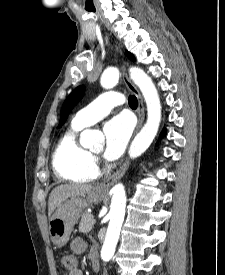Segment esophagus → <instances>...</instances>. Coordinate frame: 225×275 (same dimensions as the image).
Returning a JSON list of instances; mask_svg holds the SVG:
<instances>
[{
	"instance_id": "esophagus-1",
	"label": "esophagus",
	"mask_w": 225,
	"mask_h": 275,
	"mask_svg": "<svg viewBox=\"0 0 225 275\" xmlns=\"http://www.w3.org/2000/svg\"><path fill=\"white\" fill-rule=\"evenodd\" d=\"M123 80L127 88L137 97V100H138V109H137L138 123L135 129V133H137L144 121V114H145L144 103H143V98L141 93L128 77L125 64L123 65ZM128 166H129V162L128 161L124 162L117 172H115L110 177H108L104 182L99 184L97 188L109 189L119 178H121L124 175Z\"/></svg>"
}]
</instances>
